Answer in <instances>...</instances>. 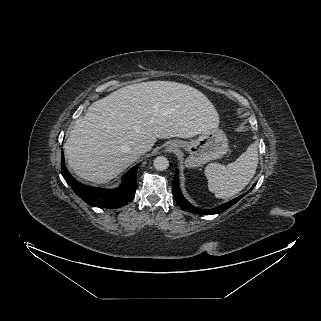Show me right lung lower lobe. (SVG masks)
Wrapping results in <instances>:
<instances>
[{"mask_svg": "<svg viewBox=\"0 0 321 321\" xmlns=\"http://www.w3.org/2000/svg\"><path fill=\"white\" fill-rule=\"evenodd\" d=\"M137 170L138 165L130 169L124 175L122 185L117 189L109 190L86 186L75 180L68 172L62 151L61 172L65 181L80 198L93 207L113 209L122 207L131 201L137 189Z\"/></svg>", "mask_w": 321, "mask_h": 321, "instance_id": "right-lung-lower-lobe-1", "label": "right lung lower lobe"}]
</instances>
